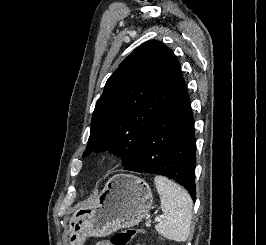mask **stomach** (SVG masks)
Returning <instances> with one entry per match:
<instances>
[{"label": "stomach", "mask_w": 266, "mask_h": 245, "mask_svg": "<svg viewBox=\"0 0 266 245\" xmlns=\"http://www.w3.org/2000/svg\"><path fill=\"white\" fill-rule=\"evenodd\" d=\"M152 205L153 195L146 181L134 175H114L93 207L73 213L69 245H84L86 237H108L118 229L135 227Z\"/></svg>", "instance_id": "stomach-1"}]
</instances>
